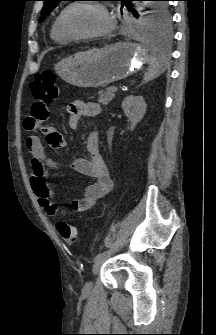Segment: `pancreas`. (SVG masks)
I'll return each mask as SVG.
<instances>
[{
	"mask_svg": "<svg viewBox=\"0 0 216 335\" xmlns=\"http://www.w3.org/2000/svg\"><path fill=\"white\" fill-rule=\"evenodd\" d=\"M113 87H108L104 91H99L98 102L102 105H108L110 101L114 98V94L112 92Z\"/></svg>",
	"mask_w": 216,
	"mask_h": 335,
	"instance_id": "1",
	"label": "pancreas"
}]
</instances>
